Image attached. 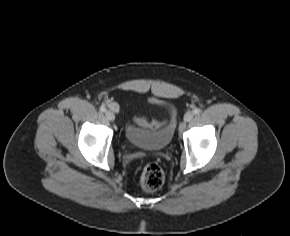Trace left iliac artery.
<instances>
[{"instance_id":"44dca946","label":"left iliac artery","mask_w":290,"mask_h":236,"mask_svg":"<svg viewBox=\"0 0 290 236\" xmlns=\"http://www.w3.org/2000/svg\"><path fill=\"white\" fill-rule=\"evenodd\" d=\"M193 112H194V114H199V113H200V109L195 108V109L193 110Z\"/></svg>"}]
</instances>
